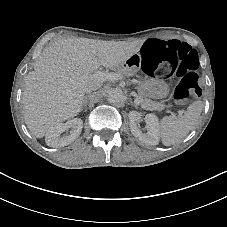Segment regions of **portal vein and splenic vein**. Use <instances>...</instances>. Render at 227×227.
<instances>
[{"label": "portal vein and splenic vein", "instance_id": "1", "mask_svg": "<svg viewBox=\"0 0 227 227\" xmlns=\"http://www.w3.org/2000/svg\"><path fill=\"white\" fill-rule=\"evenodd\" d=\"M100 79H103L104 81L110 80V81H116L121 79V76L118 73H114V72H103L101 75L96 76ZM141 103L140 99H135L134 100V104L138 105ZM183 111L179 110L178 112H171V115H182Z\"/></svg>", "mask_w": 227, "mask_h": 227}]
</instances>
